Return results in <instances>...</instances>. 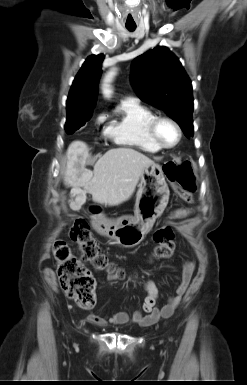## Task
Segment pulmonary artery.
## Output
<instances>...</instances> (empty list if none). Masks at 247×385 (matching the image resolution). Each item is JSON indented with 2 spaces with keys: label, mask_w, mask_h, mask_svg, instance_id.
I'll return each mask as SVG.
<instances>
[{
  "label": "pulmonary artery",
  "mask_w": 247,
  "mask_h": 385,
  "mask_svg": "<svg viewBox=\"0 0 247 385\" xmlns=\"http://www.w3.org/2000/svg\"><path fill=\"white\" fill-rule=\"evenodd\" d=\"M133 101H135L134 98H132V97H126V99H125L124 102H133Z\"/></svg>",
  "instance_id": "e3ab8cb5"
}]
</instances>
